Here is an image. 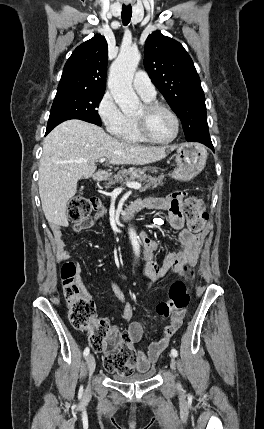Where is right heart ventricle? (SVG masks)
I'll list each match as a JSON object with an SVG mask.
<instances>
[{
    "label": "right heart ventricle",
    "instance_id": "e07e8e85",
    "mask_svg": "<svg viewBox=\"0 0 264 429\" xmlns=\"http://www.w3.org/2000/svg\"><path fill=\"white\" fill-rule=\"evenodd\" d=\"M145 101H150L146 100ZM122 141L129 143H141L144 140L141 138L134 117H127V124L121 134L118 136Z\"/></svg>",
    "mask_w": 264,
    "mask_h": 429
}]
</instances>
